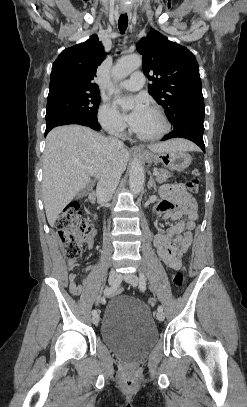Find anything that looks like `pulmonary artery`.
I'll use <instances>...</instances> for the list:
<instances>
[{
  "label": "pulmonary artery",
  "instance_id": "pulmonary-artery-1",
  "mask_svg": "<svg viewBox=\"0 0 247 407\" xmlns=\"http://www.w3.org/2000/svg\"><path fill=\"white\" fill-rule=\"evenodd\" d=\"M145 82L144 74L140 71L135 72L130 78L120 82V86L129 91H137L142 88Z\"/></svg>",
  "mask_w": 247,
  "mask_h": 407
}]
</instances>
